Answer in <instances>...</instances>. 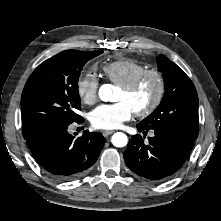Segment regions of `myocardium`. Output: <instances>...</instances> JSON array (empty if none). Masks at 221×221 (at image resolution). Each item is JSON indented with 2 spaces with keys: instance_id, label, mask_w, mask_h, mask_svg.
<instances>
[{
  "instance_id": "1",
  "label": "myocardium",
  "mask_w": 221,
  "mask_h": 221,
  "mask_svg": "<svg viewBox=\"0 0 221 221\" xmlns=\"http://www.w3.org/2000/svg\"><path fill=\"white\" fill-rule=\"evenodd\" d=\"M148 77L155 79L156 92L149 105L143 109L134 111V113L139 117H145L152 114L160 106L166 91V81L164 75L158 69L147 68L126 83L119 85V87L124 91H133Z\"/></svg>"
}]
</instances>
